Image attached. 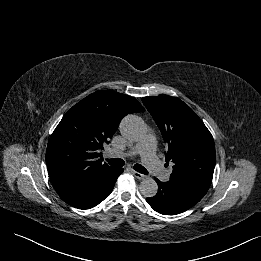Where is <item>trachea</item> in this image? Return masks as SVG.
Here are the masks:
<instances>
[{
    "instance_id": "obj_1",
    "label": "trachea",
    "mask_w": 261,
    "mask_h": 261,
    "mask_svg": "<svg viewBox=\"0 0 261 261\" xmlns=\"http://www.w3.org/2000/svg\"><path fill=\"white\" fill-rule=\"evenodd\" d=\"M106 161L111 165V166H116V167H121L124 166L125 162L122 159L119 158H114V159H106ZM134 169L142 174H147L148 171L140 164H135Z\"/></svg>"
}]
</instances>
